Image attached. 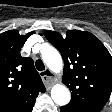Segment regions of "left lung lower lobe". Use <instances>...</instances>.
<instances>
[{"label": "left lung lower lobe", "instance_id": "0a47b994", "mask_svg": "<svg viewBox=\"0 0 112 112\" xmlns=\"http://www.w3.org/2000/svg\"><path fill=\"white\" fill-rule=\"evenodd\" d=\"M60 111L61 112H82V111L72 110V109H69V108H66V107H61Z\"/></svg>", "mask_w": 112, "mask_h": 112}]
</instances>
